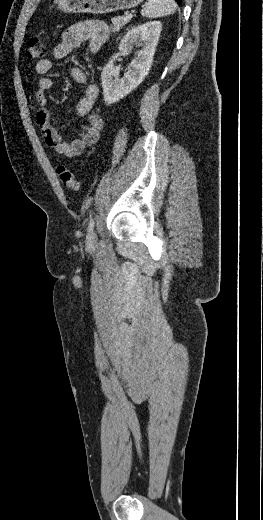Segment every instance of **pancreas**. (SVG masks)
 Returning a JSON list of instances; mask_svg holds the SVG:
<instances>
[{"label":"pancreas","instance_id":"obj_1","mask_svg":"<svg viewBox=\"0 0 263 520\" xmlns=\"http://www.w3.org/2000/svg\"><path fill=\"white\" fill-rule=\"evenodd\" d=\"M131 18H126L125 16H118L113 18L112 24L110 25V29L112 32H118L124 25H126Z\"/></svg>","mask_w":263,"mask_h":520}]
</instances>
